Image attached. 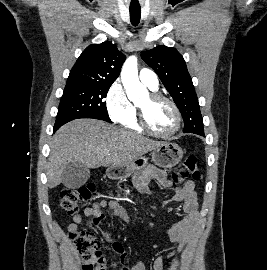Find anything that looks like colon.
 Returning a JSON list of instances; mask_svg holds the SVG:
<instances>
[{
    "mask_svg": "<svg viewBox=\"0 0 267 270\" xmlns=\"http://www.w3.org/2000/svg\"><path fill=\"white\" fill-rule=\"evenodd\" d=\"M190 178L197 181L200 172L197 166V158L194 155H187L180 171L174 175V180ZM96 186L93 183L71 188L62 191L59 199V207L68 216H75L82 205L86 203L95 193ZM69 238L76 248L82 262L83 270H104V256L100 240L94 233L86 230H69Z\"/></svg>",
    "mask_w": 267,
    "mask_h": 270,
    "instance_id": "5ec220e1",
    "label": "colon"
}]
</instances>
